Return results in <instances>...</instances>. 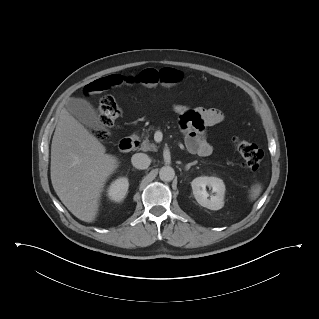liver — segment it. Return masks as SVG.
Segmentation results:
<instances>
[{
	"label": "liver",
	"instance_id": "obj_1",
	"mask_svg": "<svg viewBox=\"0 0 319 319\" xmlns=\"http://www.w3.org/2000/svg\"><path fill=\"white\" fill-rule=\"evenodd\" d=\"M118 166V159L63 108L51 144V181L74 216L85 222L96 219L105 183Z\"/></svg>",
	"mask_w": 319,
	"mask_h": 319
}]
</instances>
